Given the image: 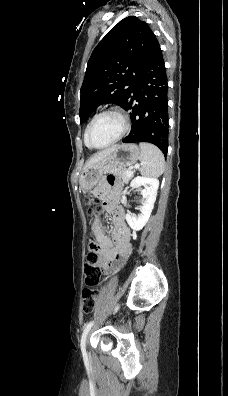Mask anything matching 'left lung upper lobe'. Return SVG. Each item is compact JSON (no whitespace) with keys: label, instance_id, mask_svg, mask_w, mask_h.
I'll return each instance as SVG.
<instances>
[{"label":"left lung upper lobe","instance_id":"obj_1","mask_svg":"<svg viewBox=\"0 0 228 396\" xmlns=\"http://www.w3.org/2000/svg\"><path fill=\"white\" fill-rule=\"evenodd\" d=\"M156 37L148 24L129 16L115 25L93 50L81 87L80 123L104 103L124 107Z\"/></svg>","mask_w":228,"mask_h":396}]
</instances>
